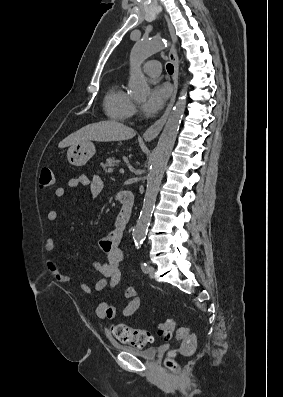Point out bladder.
Listing matches in <instances>:
<instances>
[{"label": "bladder", "mask_w": 283, "mask_h": 397, "mask_svg": "<svg viewBox=\"0 0 283 397\" xmlns=\"http://www.w3.org/2000/svg\"><path fill=\"white\" fill-rule=\"evenodd\" d=\"M117 348L128 353H132L147 360H152L157 356L158 349L156 347L136 348L127 345H117Z\"/></svg>", "instance_id": "31cf9c89"}]
</instances>
